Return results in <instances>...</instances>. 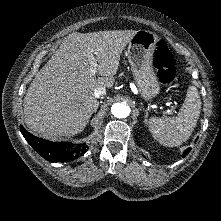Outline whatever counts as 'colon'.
Listing matches in <instances>:
<instances>
[{
  "label": "colon",
  "mask_w": 221,
  "mask_h": 221,
  "mask_svg": "<svg viewBox=\"0 0 221 221\" xmlns=\"http://www.w3.org/2000/svg\"><path fill=\"white\" fill-rule=\"evenodd\" d=\"M153 64L157 70V78L164 85H171L175 80L174 57L166 44L160 40L157 42L153 56Z\"/></svg>",
  "instance_id": "5ec220e1"
}]
</instances>
